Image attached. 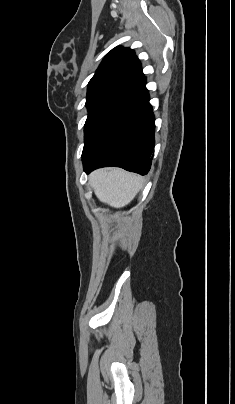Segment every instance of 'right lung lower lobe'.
Instances as JSON below:
<instances>
[{"mask_svg":"<svg viewBox=\"0 0 235 404\" xmlns=\"http://www.w3.org/2000/svg\"><path fill=\"white\" fill-rule=\"evenodd\" d=\"M145 84V77L130 84L86 138L82 153L86 173L105 166L141 175L149 171L155 125Z\"/></svg>","mask_w":235,"mask_h":404,"instance_id":"98d812e1","label":"right lung lower lobe"}]
</instances>
